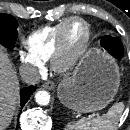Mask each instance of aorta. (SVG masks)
<instances>
[{"mask_svg":"<svg viewBox=\"0 0 130 130\" xmlns=\"http://www.w3.org/2000/svg\"><path fill=\"white\" fill-rule=\"evenodd\" d=\"M35 100L38 105H48L50 101V95L47 91H38L35 94Z\"/></svg>","mask_w":130,"mask_h":130,"instance_id":"aorta-1","label":"aorta"}]
</instances>
